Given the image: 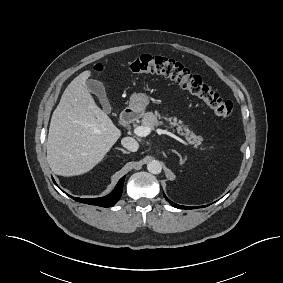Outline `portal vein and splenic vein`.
Returning a JSON list of instances; mask_svg holds the SVG:
<instances>
[{
  "label": "portal vein and splenic vein",
  "mask_w": 283,
  "mask_h": 283,
  "mask_svg": "<svg viewBox=\"0 0 283 283\" xmlns=\"http://www.w3.org/2000/svg\"><path fill=\"white\" fill-rule=\"evenodd\" d=\"M150 132H151V129L149 127L137 126V127L134 128V133L137 136H140V137H145V136L149 135ZM157 133L159 135L166 134V135L176 139L177 141H179V142H181L185 145H188L185 141H183L182 139H180L179 137H177L176 135H174L173 133H171L167 130L157 129Z\"/></svg>",
  "instance_id": "portal-vein-and-splenic-vein-1"
}]
</instances>
